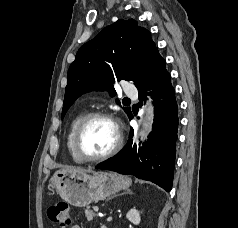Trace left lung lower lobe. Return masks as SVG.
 Wrapping results in <instances>:
<instances>
[{
  "mask_svg": "<svg viewBox=\"0 0 238 228\" xmlns=\"http://www.w3.org/2000/svg\"><path fill=\"white\" fill-rule=\"evenodd\" d=\"M165 65L166 61L156 49L145 64L149 82L142 78L136 86L140 100L146 99L149 88L152 89L154 97L155 117L153 131L148 141L138 151L135 145L132 148L133 131L131 130L129 141L124 149L96 168L134 175L139 179L151 181L169 192L173 183L178 106L175 90L171 85V76ZM128 117L130 120L133 119L132 112Z\"/></svg>",
  "mask_w": 238,
  "mask_h": 228,
  "instance_id": "obj_1",
  "label": "left lung lower lobe"
}]
</instances>
